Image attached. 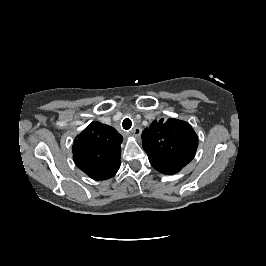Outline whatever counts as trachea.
<instances>
[{"label":"trachea","instance_id":"3493384b","mask_svg":"<svg viewBox=\"0 0 266 266\" xmlns=\"http://www.w3.org/2000/svg\"><path fill=\"white\" fill-rule=\"evenodd\" d=\"M122 126L125 130H128L132 126V121L129 118H125L122 122Z\"/></svg>","mask_w":266,"mask_h":266}]
</instances>
